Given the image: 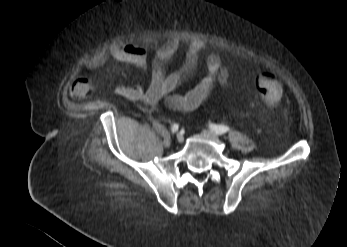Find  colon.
Here are the masks:
<instances>
[{
    "label": "colon",
    "instance_id": "obj_1",
    "mask_svg": "<svg viewBox=\"0 0 347 247\" xmlns=\"http://www.w3.org/2000/svg\"><path fill=\"white\" fill-rule=\"evenodd\" d=\"M257 91L268 105H276L284 97V88L280 80L271 72H264L257 80Z\"/></svg>",
    "mask_w": 347,
    "mask_h": 247
}]
</instances>
